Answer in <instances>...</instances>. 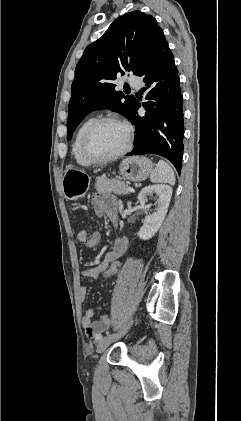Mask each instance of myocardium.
Here are the masks:
<instances>
[{"label":"myocardium","instance_id":"f54148a6","mask_svg":"<svg viewBox=\"0 0 241 421\" xmlns=\"http://www.w3.org/2000/svg\"><path fill=\"white\" fill-rule=\"evenodd\" d=\"M117 123L126 129V142L124 146L114 154L108 156H97L93 154L89 148V141L93 132L104 123ZM133 142V129L125 120L116 116H103L95 119L84 131L81 139V151L83 155L92 163H106L116 160L125 155L131 148Z\"/></svg>","mask_w":241,"mask_h":421}]
</instances>
